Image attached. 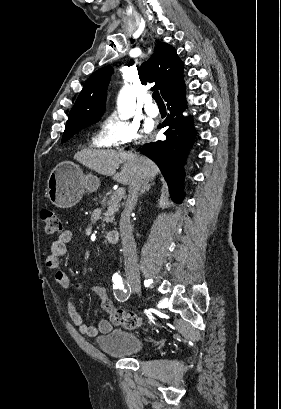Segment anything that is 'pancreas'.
Instances as JSON below:
<instances>
[{
    "label": "pancreas",
    "mask_w": 281,
    "mask_h": 409,
    "mask_svg": "<svg viewBox=\"0 0 281 409\" xmlns=\"http://www.w3.org/2000/svg\"><path fill=\"white\" fill-rule=\"evenodd\" d=\"M112 199H114L113 190H109V192H106L105 196H102V198H100L102 207H111L110 201ZM112 209L113 211H112L111 217H105V219H103V221H106V223H111V221H114L113 215H115V213H118V208H112ZM105 215H108L107 211Z\"/></svg>",
    "instance_id": "1"
}]
</instances>
